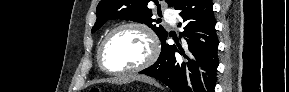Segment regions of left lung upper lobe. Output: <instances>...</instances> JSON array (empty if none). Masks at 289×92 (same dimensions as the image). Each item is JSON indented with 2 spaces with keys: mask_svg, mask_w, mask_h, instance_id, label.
Instances as JSON below:
<instances>
[{
  "mask_svg": "<svg viewBox=\"0 0 289 92\" xmlns=\"http://www.w3.org/2000/svg\"><path fill=\"white\" fill-rule=\"evenodd\" d=\"M150 1H154L160 8L156 0H101L96 9L97 21L92 28V33L110 19H125L146 24L162 41L168 32L162 26L153 24L155 19L151 18L152 12L147 7ZM177 1L166 0L168 7H173Z\"/></svg>",
  "mask_w": 289,
  "mask_h": 92,
  "instance_id": "obj_1",
  "label": "left lung upper lobe"
}]
</instances>
